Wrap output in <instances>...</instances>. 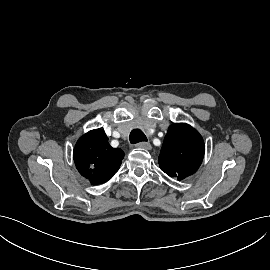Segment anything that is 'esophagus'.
I'll list each match as a JSON object with an SVG mask.
<instances>
[{"label":"esophagus","instance_id":"obj_1","mask_svg":"<svg viewBox=\"0 0 270 270\" xmlns=\"http://www.w3.org/2000/svg\"><path fill=\"white\" fill-rule=\"evenodd\" d=\"M137 148H142V149H146V150H151V144L149 142H139L136 144Z\"/></svg>","mask_w":270,"mask_h":270}]
</instances>
